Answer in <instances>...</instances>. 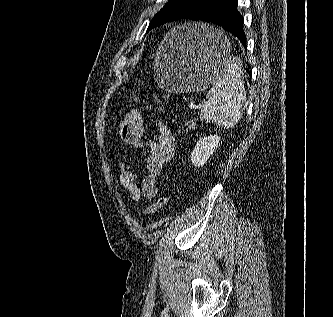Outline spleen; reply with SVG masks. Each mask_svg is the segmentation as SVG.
I'll list each match as a JSON object with an SVG mask.
<instances>
[{
    "instance_id": "spleen-1",
    "label": "spleen",
    "mask_w": 333,
    "mask_h": 317,
    "mask_svg": "<svg viewBox=\"0 0 333 317\" xmlns=\"http://www.w3.org/2000/svg\"><path fill=\"white\" fill-rule=\"evenodd\" d=\"M208 36L213 44L228 49L227 38L220 30L210 27ZM242 72L238 59L231 56L225 59L223 71L206 95L208 103L199 113L201 120L224 128H231L240 120L246 101Z\"/></svg>"
}]
</instances>
